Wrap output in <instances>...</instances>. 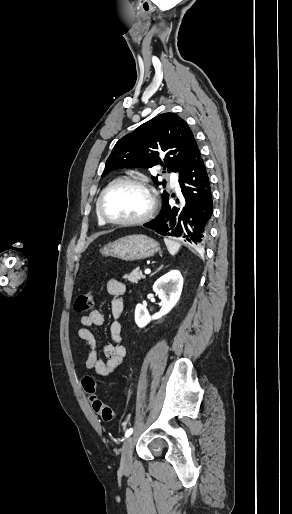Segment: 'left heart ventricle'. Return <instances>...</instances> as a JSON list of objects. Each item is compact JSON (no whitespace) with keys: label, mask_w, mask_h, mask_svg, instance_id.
Wrapping results in <instances>:
<instances>
[{"label":"left heart ventricle","mask_w":292,"mask_h":514,"mask_svg":"<svg viewBox=\"0 0 292 514\" xmlns=\"http://www.w3.org/2000/svg\"><path fill=\"white\" fill-rule=\"evenodd\" d=\"M148 205V197L140 187L123 184L106 194L103 212L114 220H129L143 215Z\"/></svg>","instance_id":"left-heart-ventricle-1"}]
</instances>
